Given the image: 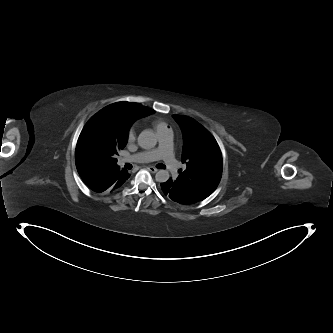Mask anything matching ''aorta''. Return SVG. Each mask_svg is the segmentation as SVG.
I'll list each match as a JSON object with an SVG mask.
<instances>
[{"mask_svg": "<svg viewBox=\"0 0 333 333\" xmlns=\"http://www.w3.org/2000/svg\"><path fill=\"white\" fill-rule=\"evenodd\" d=\"M138 144L143 149H152L157 144V137L152 130H144L138 136ZM169 178V172L164 169L159 170L155 175V179L158 182H165Z\"/></svg>", "mask_w": 333, "mask_h": 333, "instance_id": "762f6f07", "label": "aorta"}]
</instances>
